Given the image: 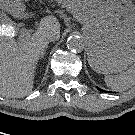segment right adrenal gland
I'll use <instances>...</instances> for the list:
<instances>
[{
  "instance_id": "1",
  "label": "right adrenal gland",
  "mask_w": 135,
  "mask_h": 135,
  "mask_svg": "<svg viewBox=\"0 0 135 135\" xmlns=\"http://www.w3.org/2000/svg\"><path fill=\"white\" fill-rule=\"evenodd\" d=\"M44 56H45V52L42 54V58H44Z\"/></svg>"
}]
</instances>
